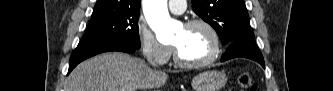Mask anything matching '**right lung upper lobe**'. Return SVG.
Returning a JSON list of instances; mask_svg holds the SVG:
<instances>
[{
    "mask_svg": "<svg viewBox=\"0 0 333 91\" xmlns=\"http://www.w3.org/2000/svg\"><path fill=\"white\" fill-rule=\"evenodd\" d=\"M124 12H140V0H97L91 18Z\"/></svg>",
    "mask_w": 333,
    "mask_h": 91,
    "instance_id": "right-lung-upper-lobe-1",
    "label": "right lung upper lobe"
}]
</instances>
